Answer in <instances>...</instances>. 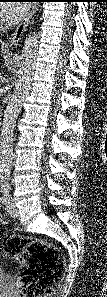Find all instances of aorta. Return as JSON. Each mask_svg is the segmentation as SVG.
Instances as JSON below:
<instances>
[{"mask_svg":"<svg viewBox=\"0 0 107 297\" xmlns=\"http://www.w3.org/2000/svg\"><path fill=\"white\" fill-rule=\"evenodd\" d=\"M38 49V36L35 32L26 37L18 62L15 90L4 111L0 133V167L10 166L13 156V131L32 84Z\"/></svg>","mask_w":107,"mask_h":297,"instance_id":"aorta-1","label":"aorta"}]
</instances>
